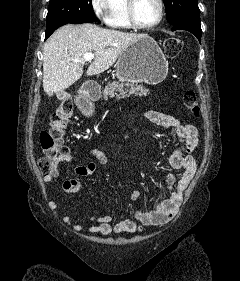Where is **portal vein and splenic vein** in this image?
<instances>
[{"instance_id": "18ae733b", "label": "portal vein and splenic vein", "mask_w": 240, "mask_h": 281, "mask_svg": "<svg viewBox=\"0 0 240 281\" xmlns=\"http://www.w3.org/2000/svg\"><path fill=\"white\" fill-rule=\"evenodd\" d=\"M95 58V55L93 53H86L82 59L75 60L76 62L84 64L85 62H90Z\"/></svg>"}]
</instances>
